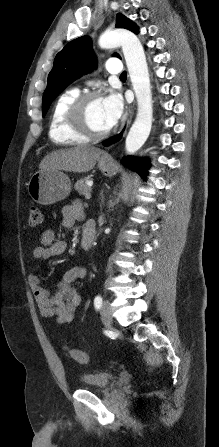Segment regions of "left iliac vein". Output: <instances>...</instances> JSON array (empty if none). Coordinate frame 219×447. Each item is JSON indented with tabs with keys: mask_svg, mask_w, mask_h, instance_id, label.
Instances as JSON below:
<instances>
[{
	"mask_svg": "<svg viewBox=\"0 0 219 447\" xmlns=\"http://www.w3.org/2000/svg\"><path fill=\"white\" fill-rule=\"evenodd\" d=\"M100 315H101V320L103 322V324H105L106 326H111L113 319H112V312H111V307L108 304V302H104L102 304L101 310H100Z\"/></svg>",
	"mask_w": 219,
	"mask_h": 447,
	"instance_id": "1",
	"label": "left iliac vein"
}]
</instances>
